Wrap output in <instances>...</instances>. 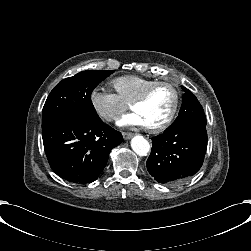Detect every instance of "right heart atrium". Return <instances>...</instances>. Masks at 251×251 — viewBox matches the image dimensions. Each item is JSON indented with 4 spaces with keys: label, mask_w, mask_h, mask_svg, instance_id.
I'll use <instances>...</instances> for the list:
<instances>
[{
    "label": "right heart atrium",
    "mask_w": 251,
    "mask_h": 251,
    "mask_svg": "<svg viewBox=\"0 0 251 251\" xmlns=\"http://www.w3.org/2000/svg\"><path fill=\"white\" fill-rule=\"evenodd\" d=\"M89 103L94 112L106 122L113 121L129 107V103L121 100L117 93L99 87L91 89Z\"/></svg>",
    "instance_id": "right-heart-atrium-1"
}]
</instances>
